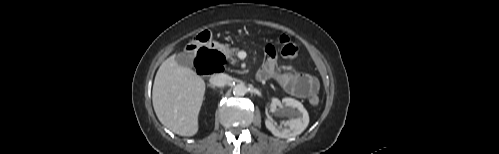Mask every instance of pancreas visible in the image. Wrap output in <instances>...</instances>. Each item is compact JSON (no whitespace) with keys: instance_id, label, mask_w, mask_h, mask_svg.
I'll use <instances>...</instances> for the list:
<instances>
[{"instance_id":"obj_1","label":"pancreas","mask_w":499,"mask_h":154,"mask_svg":"<svg viewBox=\"0 0 499 154\" xmlns=\"http://www.w3.org/2000/svg\"><path fill=\"white\" fill-rule=\"evenodd\" d=\"M221 49H222V52L225 54V56L230 59L231 63L236 62V60L233 58V56L235 54H237L238 48L230 49L228 45H222Z\"/></svg>"}]
</instances>
